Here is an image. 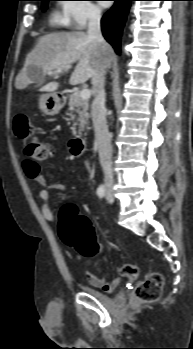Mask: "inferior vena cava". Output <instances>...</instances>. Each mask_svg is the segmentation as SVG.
I'll return each instance as SVG.
<instances>
[{
  "label": "inferior vena cava",
  "instance_id": "obj_1",
  "mask_svg": "<svg viewBox=\"0 0 193 349\" xmlns=\"http://www.w3.org/2000/svg\"><path fill=\"white\" fill-rule=\"evenodd\" d=\"M101 11L97 8H92L89 12L88 36L96 40L97 43L103 44L105 40L101 33ZM105 71L102 70L98 79L94 81L98 91L91 105V116L95 131V140L98 145L99 160L103 169L105 184L113 185L112 171V146L111 135L108 131L106 122L105 108Z\"/></svg>",
  "mask_w": 193,
  "mask_h": 349
}]
</instances>
